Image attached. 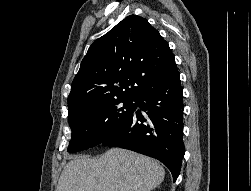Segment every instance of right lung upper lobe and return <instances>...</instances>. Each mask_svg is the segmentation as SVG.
Returning <instances> with one entry per match:
<instances>
[{
    "label": "right lung upper lobe",
    "mask_w": 251,
    "mask_h": 191,
    "mask_svg": "<svg viewBox=\"0 0 251 191\" xmlns=\"http://www.w3.org/2000/svg\"><path fill=\"white\" fill-rule=\"evenodd\" d=\"M178 73L159 32L145 18L130 15L90 46L72 82L68 107L135 100Z\"/></svg>",
    "instance_id": "obj_1"
}]
</instances>
